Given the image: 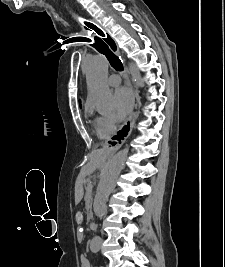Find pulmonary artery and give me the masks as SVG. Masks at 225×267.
<instances>
[{"label":"pulmonary artery","instance_id":"obj_1","mask_svg":"<svg viewBox=\"0 0 225 267\" xmlns=\"http://www.w3.org/2000/svg\"><path fill=\"white\" fill-rule=\"evenodd\" d=\"M108 84L110 86H117L120 84V77L116 74H112L108 77Z\"/></svg>","mask_w":225,"mask_h":267}]
</instances>
